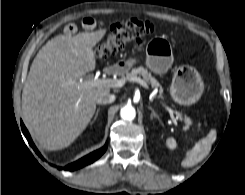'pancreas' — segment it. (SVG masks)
<instances>
[{
  "label": "pancreas",
  "mask_w": 245,
  "mask_h": 195,
  "mask_svg": "<svg viewBox=\"0 0 245 195\" xmlns=\"http://www.w3.org/2000/svg\"><path fill=\"white\" fill-rule=\"evenodd\" d=\"M137 75L142 76L146 82L151 84L152 87H154V88L160 87V94H162L163 90H162L159 82L152 76V74L150 72H148L143 67L133 68L131 70V72L127 73L126 76L122 77V81H131V79L133 77H137ZM185 122H186V128H188L189 125L192 123L189 118H186Z\"/></svg>",
  "instance_id": "pancreas-1"
}]
</instances>
